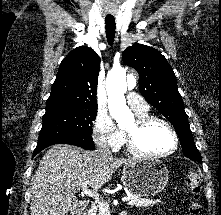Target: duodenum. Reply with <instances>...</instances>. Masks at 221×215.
<instances>
[{
  "label": "duodenum",
  "mask_w": 221,
  "mask_h": 215,
  "mask_svg": "<svg viewBox=\"0 0 221 215\" xmlns=\"http://www.w3.org/2000/svg\"><path fill=\"white\" fill-rule=\"evenodd\" d=\"M95 210V204L92 201H86L75 215H92ZM126 215V214H120Z\"/></svg>",
  "instance_id": "1"
}]
</instances>
